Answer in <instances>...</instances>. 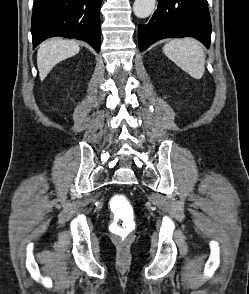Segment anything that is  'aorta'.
Listing matches in <instances>:
<instances>
[{"label":"aorta","mask_w":249,"mask_h":294,"mask_svg":"<svg viewBox=\"0 0 249 294\" xmlns=\"http://www.w3.org/2000/svg\"><path fill=\"white\" fill-rule=\"evenodd\" d=\"M156 0H135L133 12L138 18H146L151 15L155 8Z\"/></svg>","instance_id":"762f6f07"}]
</instances>
